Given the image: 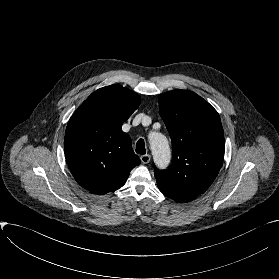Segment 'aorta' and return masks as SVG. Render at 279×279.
<instances>
[{"instance_id": "1", "label": "aorta", "mask_w": 279, "mask_h": 279, "mask_svg": "<svg viewBox=\"0 0 279 279\" xmlns=\"http://www.w3.org/2000/svg\"><path fill=\"white\" fill-rule=\"evenodd\" d=\"M149 143L154 163L160 168L167 167L171 160V151L166 136L158 132L151 133Z\"/></svg>"}]
</instances>
